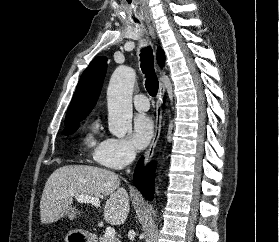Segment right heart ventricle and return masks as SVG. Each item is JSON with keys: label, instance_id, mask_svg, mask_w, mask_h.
I'll use <instances>...</instances> for the list:
<instances>
[{"label": "right heart ventricle", "instance_id": "e07e8e85", "mask_svg": "<svg viewBox=\"0 0 279 242\" xmlns=\"http://www.w3.org/2000/svg\"><path fill=\"white\" fill-rule=\"evenodd\" d=\"M97 130H98V123L95 122L91 125L89 132L86 134L84 138V143L87 148L96 150L97 147L100 145L101 142L99 143L96 138Z\"/></svg>", "mask_w": 279, "mask_h": 242}]
</instances>
